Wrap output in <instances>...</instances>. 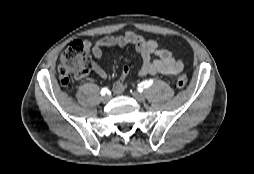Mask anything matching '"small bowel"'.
Wrapping results in <instances>:
<instances>
[{"instance_id": "c3829d8e", "label": "small bowel", "mask_w": 254, "mask_h": 174, "mask_svg": "<svg viewBox=\"0 0 254 174\" xmlns=\"http://www.w3.org/2000/svg\"><path fill=\"white\" fill-rule=\"evenodd\" d=\"M134 45L136 52L142 59L139 69L140 76L163 74L169 78H174L184 67L183 61L176 59L170 50L163 48L156 40L146 39L135 32H126L118 36H106L94 42L84 41V46L94 59L93 70L102 79L108 78L107 71L98 62L102 59L103 49L112 46ZM130 66L122 68L118 81L113 84V91L122 93L127 86L126 77L130 73Z\"/></svg>"}]
</instances>
